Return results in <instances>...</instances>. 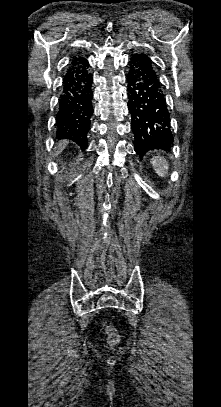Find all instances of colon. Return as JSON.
Here are the masks:
<instances>
[{
  "label": "colon",
  "mask_w": 221,
  "mask_h": 407,
  "mask_svg": "<svg viewBox=\"0 0 221 407\" xmlns=\"http://www.w3.org/2000/svg\"><path fill=\"white\" fill-rule=\"evenodd\" d=\"M105 332L108 335L109 341L111 343H116L119 340V334L117 332V330L110 324H105Z\"/></svg>",
  "instance_id": "5ec220e1"
}]
</instances>
